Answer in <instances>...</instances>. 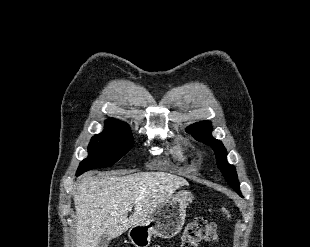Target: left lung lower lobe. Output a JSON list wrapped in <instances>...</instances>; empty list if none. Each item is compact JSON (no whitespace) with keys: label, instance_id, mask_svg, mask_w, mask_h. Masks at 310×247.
Returning <instances> with one entry per match:
<instances>
[{"label":"left lung lower lobe","instance_id":"obj_1","mask_svg":"<svg viewBox=\"0 0 310 247\" xmlns=\"http://www.w3.org/2000/svg\"><path fill=\"white\" fill-rule=\"evenodd\" d=\"M235 191H237V193H238L241 197H243L242 194H241V192H240V189L235 190Z\"/></svg>","mask_w":310,"mask_h":247}]
</instances>
